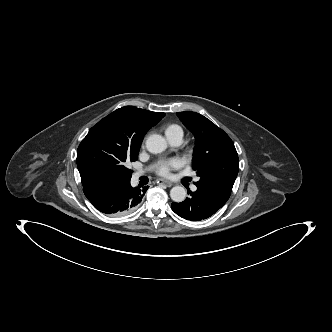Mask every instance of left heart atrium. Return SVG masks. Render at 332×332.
<instances>
[{
    "instance_id": "39dd6f15",
    "label": "left heart atrium",
    "mask_w": 332,
    "mask_h": 332,
    "mask_svg": "<svg viewBox=\"0 0 332 332\" xmlns=\"http://www.w3.org/2000/svg\"><path fill=\"white\" fill-rule=\"evenodd\" d=\"M181 165L182 163L178 158L163 160L159 163L156 172L161 176L167 177L170 175L173 169H178L181 167Z\"/></svg>"
}]
</instances>
